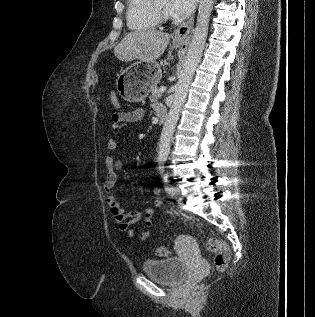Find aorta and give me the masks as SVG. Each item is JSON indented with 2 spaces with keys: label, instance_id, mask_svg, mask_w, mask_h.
Segmentation results:
<instances>
[{
  "label": "aorta",
  "instance_id": "obj_1",
  "mask_svg": "<svg viewBox=\"0 0 315 317\" xmlns=\"http://www.w3.org/2000/svg\"><path fill=\"white\" fill-rule=\"evenodd\" d=\"M214 1L215 0H200L199 2L194 34L188 48L183 68L180 72L179 80L175 86L173 102L161 133L158 151L159 161H165L168 158L173 133L196 67L202 56Z\"/></svg>",
  "mask_w": 315,
  "mask_h": 317
}]
</instances>
